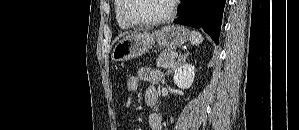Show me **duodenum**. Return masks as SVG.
<instances>
[{
  "instance_id": "duodenum-1",
  "label": "duodenum",
  "mask_w": 299,
  "mask_h": 130,
  "mask_svg": "<svg viewBox=\"0 0 299 130\" xmlns=\"http://www.w3.org/2000/svg\"><path fill=\"white\" fill-rule=\"evenodd\" d=\"M147 104L149 106H154L157 102V94H150L148 97H147V100H146Z\"/></svg>"
}]
</instances>
